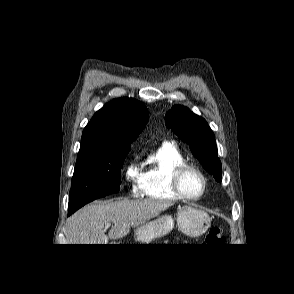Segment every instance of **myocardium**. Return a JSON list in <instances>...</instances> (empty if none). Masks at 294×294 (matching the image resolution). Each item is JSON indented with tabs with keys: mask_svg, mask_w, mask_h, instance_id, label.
Listing matches in <instances>:
<instances>
[{
	"mask_svg": "<svg viewBox=\"0 0 294 294\" xmlns=\"http://www.w3.org/2000/svg\"><path fill=\"white\" fill-rule=\"evenodd\" d=\"M187 171L195 172L196 174L199 175V177L202 180L201 192L196 196H189L182 189V185H181L182 177ZM171 188L179 198L185 201H196L200 199L206 192L207 178L205 174L198 167H196L193 164L183 162L176 165L171 172Z\"/></svg>",
	"mask_w": 294,
	"mask_h": 294,
	"instance_id": "1",
	"label": "myocardium"
}]
</instances>
